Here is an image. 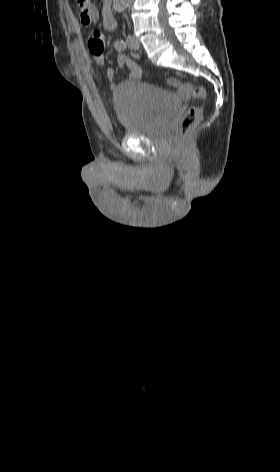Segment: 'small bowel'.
Instances as JSON below:
<instances>
[{
  "label": "small bowel",
  "mask_w": 280,
  "mask_h": 472,
  "mask_svg": "<svg viewBox=\"0 0 280 472\" xmlns=\"http://www.w3.org/2000/svg\"><path fill=\"white\" fill-rule=\"evenodd\" d=\"M88 47L93 57L94 62L99 66L105 65L104 57V36L102 32L95 30L90 34ZM117 66L119 68L126 67L129 70V78L132 80L138 79L140 76V68L137 63L126 54H120L117 58ZM115 70L112 67L106 70V79L109 82L113 81ZM168 83L175 87H181L177 79L170 78Z\"/></svg>",
  "instance_id": "obj_1"
}]
</instances>
